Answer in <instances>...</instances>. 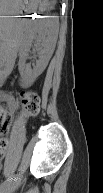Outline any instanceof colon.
Masks as SVG:
<instances>
[{"label":"colon","mask_w":103,"mask_h":193,"mask_svg":"<svg viewBox=\"0 0 103 193\" xmlns=\"http://www.w3.org/2000/svg\"><path fill=\"white\" fill-rule=\"evenodd\" d=\"M22 106L26 117L36 116L40 110V97L35 91H24L20 94ZM11 123V116L4 109L1 111V138L0 154L4 155L8 148V128Z\"/></svg>","instance_id":"obj_1"}]
</instances>
